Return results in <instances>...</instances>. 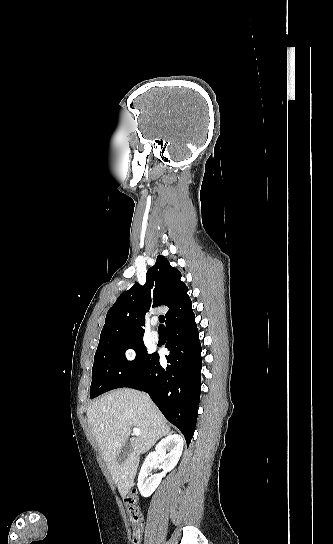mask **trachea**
Masks as SVG:
<instances>
[{
	"instance_id": "obj_1",
	"label": "trachea",
	"mask_w": 333,
	"mask_h": 544,
	"mask_svg": "<svg viewBox=\"0 0 333 544\" xmlns=\"http://www.w3.org/2000/svg\"><path fill=\"white\" fill-rule=\"evenodd\" d=\"M164 321H165L164 316H163V315H160V316H159V322H160L159 330H164V329H165L164 324H163Z\"/></svg>"
}]
</instances>
